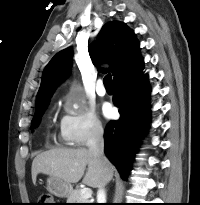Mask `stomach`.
<instances>
[{"label": "stomach", "instance_id": "obj_1", "mask_svg": "<svg viewBox=\"0 0 200 205\" xmlns=\"http://www.w3.org/2000/svg\"><path fill=\"white\" fill-rule=\"evenodd\" d=\"M47 190L57 197L64 198L69 196L72 186L58 177L50 176L47 179Z\"/></svg>", "mask_w": 200, "mask_h": 205}]
</instances>
